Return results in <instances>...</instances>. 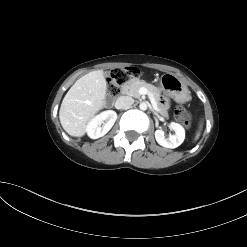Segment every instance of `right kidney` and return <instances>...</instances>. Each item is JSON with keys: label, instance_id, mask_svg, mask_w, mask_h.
Masks as SVG:
<instances>
[{"label": "right kidney", "instance_id": "1", "mask_svg": "<svg viewBox=\"0 0 247 247\" xmlns=\"http://www.w3.org/2000/svg\"><path fill=\"white\" fill-rule=\"evenodd\" d=\"M116 119L117 113L113 110L100 113L88 122L86 127L87 135L92 139L104 136L113 127Z\"/></svg>", "mask_w": 247, "mask_h": 247}]
</instances>
